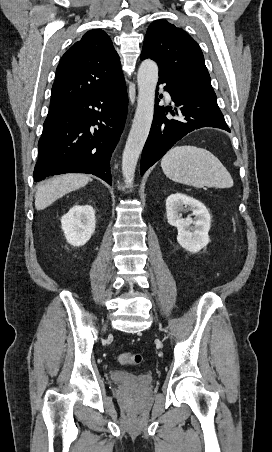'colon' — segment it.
Wrapping results in <instances>:
<instances>
[{"mask_svg":"<svg viewBox=\"0 0 272 452\" xmlns=\"http://www.w3.org/2000/svg\"><path fill=\"white\" fill-rule=\"evenodd\" d=\"M118 360L122 365H137L142 361V356L138 353H122Z\"/></svg>","mask_w":272,"mask_h":452,"instance_id":"obj_1","label":"colon"}]
</instances>
